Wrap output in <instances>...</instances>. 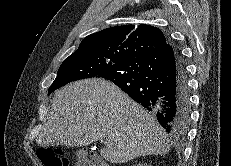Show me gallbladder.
<instances>
[{"instance_id":"1","label":"gallbladder","mask_w":231,"mask_h":166,"mask_svg":"<svg viewBox=\"0 0 231 166\" xmlns=\"http://www.w3.org/2000/svg\"><path fill=\"white\" fill-rule=\"evenodd\" d=\"M78 166H88L90 165V161H88L87 159L82 160V161H78Z\"/></svg>"}]
</instances>
